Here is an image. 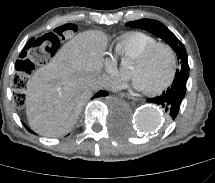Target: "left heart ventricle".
I'll use <instances>...</instances> for the list:
<instances>
[{"instance_id": "1", "label": "left heart ventricle", "mask_w": 215, "mask_h": 183, "mask_svg": "<svg viewBox=\"0 0 215 183\" xmlns=\"http://www.w3.org/2000/svg\"><path fill=\"white\" fill-rule=\"evenodd\" d=\"M172 71V60L166 49H159L143 62L133 61L130 73L142 82L146 90L165 83Z\"/></svg>"}]
</instances>
